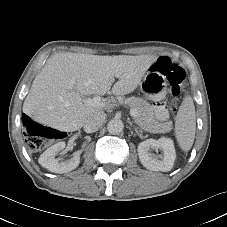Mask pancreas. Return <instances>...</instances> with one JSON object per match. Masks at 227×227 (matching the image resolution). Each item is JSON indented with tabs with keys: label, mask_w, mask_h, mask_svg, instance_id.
I'll use <instances>...</instances> for the list:
<instances>
[{
	"label": "pancreas",
	"mask_w": 227,
	"mask_h": 227,
	"mask_svg": "<svg viewBox=\"0 0 227 227\" xmlns=\"http://www.w3.org/2000/svg\"><path fill=\"white\" fill-rule=\"evenodd\" d=\"M124 102L129 107L136 109L135 122L143 130L151 133H168L172 130L171 121L159 123L154 119L151 107L144 99L133 96L125 99Z\"/></svg>",
	"instance_id": "1"
}]
</instances>
